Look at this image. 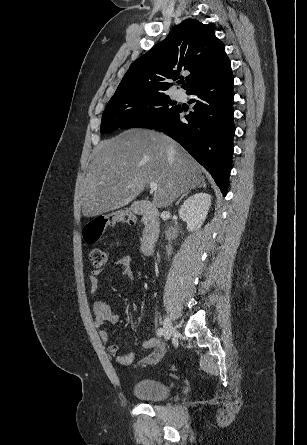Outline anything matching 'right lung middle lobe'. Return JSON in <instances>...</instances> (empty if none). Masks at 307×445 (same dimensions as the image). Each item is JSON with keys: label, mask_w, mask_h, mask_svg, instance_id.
Instances as JSON below:
<instances>
[{"label": "right lung middle lobe", "mask_w": 307, "mask_h": 445, "mask_svg": "<svg viewBox=\"0 0 307 445\" xmlns=\"http://www.w3.org/2000/svg\"><path fill=\"white\" fill-rule=\"evenodd\" d=\"M174 105L167 95L152 94L111 98L101 121V133L117 128L149 127L174 112Z\"/></svg>", "instance_id": "right-lung-middle-lobe-1"}]
</instances>
